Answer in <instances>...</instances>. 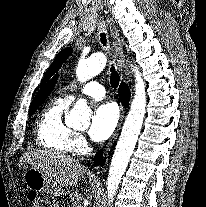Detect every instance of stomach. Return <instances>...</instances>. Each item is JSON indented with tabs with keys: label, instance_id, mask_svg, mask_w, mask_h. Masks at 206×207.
Returning a JSON list of instances; mask_svg holds the SVG:
<instances>
[{
	"label": "stomach",
	"instance_id": "0dacf381",
	"mask_svg": "<svg viewBox=\"0 0 206 207\" xmlns=\"http://www.w3.org/2000/svg\"><path fill=\"white\" fill-rule=\"evenodd\" d=\"M23 181L30 190L50 196H59L63 192L52 180L34 167L26 168L23 173Z\"/></svg>",
	"mask_w": 206,
	"mask_h": 207
}]
</instances>
